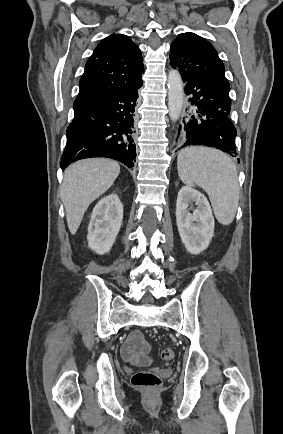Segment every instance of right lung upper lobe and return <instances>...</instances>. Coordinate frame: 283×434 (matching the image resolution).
Wrapping results in <instances>:
<instances>
[{
	"label": "right lung upper lobe",
	"instance_id": "right-lung-upper-lobe-1",
	"mask_svg": "<svg viewBox=\"0 0 283 434\" xmlns=\"http://www.w3.org/2000/svg\"><path fill=\"white\" fill-rule=\"evenodd\" d=\"M140 49L122 34L103 39L85 65L74 108L130 90L142 82Z\"/></svg>",
	"mask_w": 283,
	"mask_h": 434
}]
</instances>
